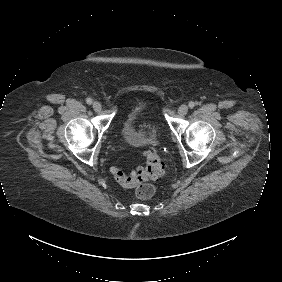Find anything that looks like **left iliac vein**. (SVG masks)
I'll return each instance as SVG.
<instances>
[{"mask_svg":"<svg viewBox=\"0 0 282 282\" xmlns=\"http://www.w3.org/2000/svg\"><path fill=\"white\" fill-rule=\"evenodd\" d=\"M187 112H188V106H187V105H181V106L179 107V109H178V114H179L180 116L186 115Z\"/></svg>","mask_w":282,"mask_h":282,"instance_id":"obj_1","label":"left iliac vein"}]
</instances>
